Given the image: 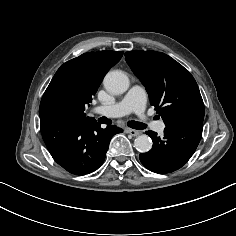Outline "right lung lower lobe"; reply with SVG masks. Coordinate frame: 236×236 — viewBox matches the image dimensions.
<instances>
[{"label": "right lung lower lobe", "mask_w": 236, "mask_h": 236, "mask_svg": "<svg viewBox=\"0 0 236 236\" xmlns=\"http://www.w3.org/2000/svg\"><path fill=\"white\" fill-rule=\"evenodd\" d=\"M40 128L53 159L75 175L99 168L111 137L122 132L112 125L102 129L95 119L74 121L56 112L40 117Z\"/></svg>", "instance_id": "right-lung-lower-lobe-1"}]
</instances>
